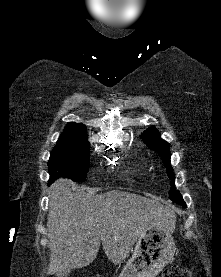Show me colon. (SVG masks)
I'll return each instance as SVG.
<instances>
[{
  "instance_id": "1",
  "label": "colon",
  "mask_w": 221,
  "mask_h": 277,
  "mask_svg": "<svg viewBox=\"0 0 221 277\" xmlns=\"http://www.w3.org/2000/svg\"><path fill=\"white\" fill-rule=\"evenodd\" d=\"M191 272L187 267L173 265L166 268L161 277H190Z\"/></svg>"
}]
</instances>
